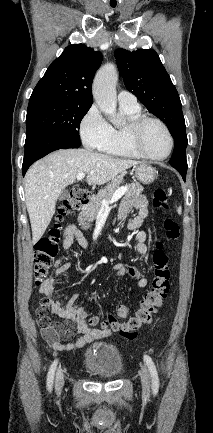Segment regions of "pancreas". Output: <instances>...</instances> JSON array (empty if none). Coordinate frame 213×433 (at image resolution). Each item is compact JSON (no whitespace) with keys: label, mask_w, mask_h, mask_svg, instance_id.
Returning <instances> with one entry per match:
<instances>
[{"label":"pancreas","mask_w":213,"mask_h":433,"mask_svg":"<svg viewBox=\"0 0 213 433\" xmlns=\"http://www.w3.org/2000/svg\"><path fill=\"white\" fill-rule=\"evenodd\" d=\"M122 182V176L114 178L104 189L100 190L96 196H93L88 204L82 206V210L78 216V222L83 229H88L91 226V223L95 220L98 212L102 208V201H109ZM125 187L127 188L125 193L127 197L139 196L143 191V188L135 183L125 184Z\"/></svg>","instance_id":"1"}]
</instances>
